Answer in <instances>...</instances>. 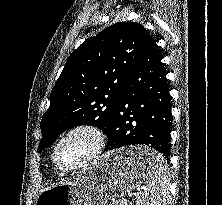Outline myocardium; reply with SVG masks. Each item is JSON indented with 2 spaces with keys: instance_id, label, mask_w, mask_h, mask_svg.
I'll list each match as a JSON object with an SVG mask.
<instances>
[{
  "instance_id": "obj_1",
  "label": "myocardium",
  "mask_w": 222,
  "mask_h": 205,
  "mask_svg": "<svg viewBox=\"0 0 222 205\" xmlns=\"http://www.w3.org/2000/svg\"><path fill=\"white\" fill-rule=\"evenodd\" d=\"M77 133H85L90 135L93 138V146L91 150L75 165L71 167H62L58 164L57 161V150L59 146L70 136L77 134ZM106 143V136L104 132L96 125L89 124V123H81L77 124L75 126H72L69 128L66 132H64L61 137L56 141V143L53 146L51 158L54 166L56 169L62 173H69L76 171L90 162H92L94 159H96L102 152V150L105 147Z\"/></svg>"
}]
</instances>
